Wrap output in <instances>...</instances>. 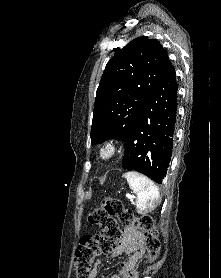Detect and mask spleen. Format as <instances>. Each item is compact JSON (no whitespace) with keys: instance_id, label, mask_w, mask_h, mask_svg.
Wrapping results in <instances>:
<instances>
[{"instance_id":"1","label":"spleen","mask_w":221,"mask_h":278,"mask_svg":"<svg viewBox=\"0 0 221 278\" xmlns=\"http://www.w3.org/2000/svg\"><path fill=\"white\" fill-rule=\"evenodd\" d=\"M123 177L137 195L138 213H148L157 207L160 199L159 190L149 178L136 172H127Z\"/></svg>"}]
</instances>
